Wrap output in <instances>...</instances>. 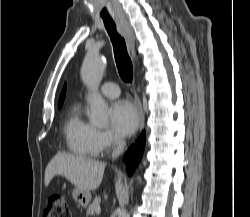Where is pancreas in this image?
<instances>
[{
  "mask_svg": "<svg viewBox=\"0 0 250 217\" xmlns=\"http://www.w3.org/2000/svg\"><path fill=\"white\" fill-rule=\"evenodd\" d=\"M97 207H100V198H95L93 202L87 208V215H94L96 213Z\"/></svg>",
  "mask_w": 250,
  "mask_h": 217,
  "instance_id": "cf45deb5",
  "label": "pancreas"
}]
</instances>
